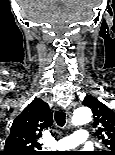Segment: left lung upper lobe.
<instances>
[{
	"label": "left lung upper lobe",
	"instance_id": "5c2ea615",
	"mask_svg": "<svg viewBox=\"0 0 115 155\" xmlns=\"http://www.w3.org/2000/svg\"><path fill=\"white\" fill-rule=\"evenodd\" d=\"M82 104L92 109L93 125L97 128L95 134L107 148L96 155H115V112L92 95H87Z\"/></svg>",
	"mask_w": 115,
	"mask_h": 155
}]
</instances>
